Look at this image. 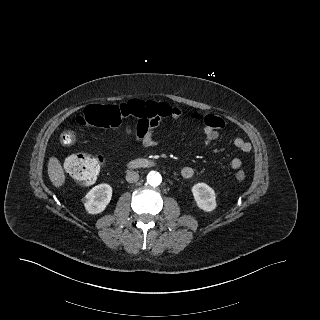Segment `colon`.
Returning a JSON list of instances; mask_svg holds the SVG:
<instances>
[{"label":"colon","mask_w":320,"mask_h":320,"mask_svg":"<svg viewBox=\"0 0 320 320\" xmlns=\"http://www.w3.org/2000/svg\"><path fill=\"white\" fill-rule=\"evenodd\" d=\"M169 108L165 104H156L153 102L132 101L125 105H89L81 116L76 119V124L80 126H92L112 128L121 124L122 120L128 115L138 117V121L159 122L160 118L166 116ZM61 140L69 145L75 141V129L68 128L62 133ZM101 157H93L86 154L70 155L65 163L67 172L80 184L92 183L101 168ZM236 179L242 181L246 174L244 171H238Z\"/></svg>","instance_id":"obj_1"}]
</instances>
